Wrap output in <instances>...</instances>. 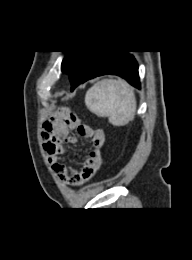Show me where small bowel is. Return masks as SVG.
Masks as SVG:
<instances>
[{
	"label": "small bowel",
	"mask_w": 192,
	"mask_h": 260,
	"mask_svg": "<svg viewBox=\"0 0 192 260\" xmlns=\"http://www.w3.org/2000/svg\"><path fill=\"white\" fill-rule=\"evenodd\" d=\"M73 132L89 138L94 145V149L89 152L80 168H73L62 161V155L65 152L64 143H74L77 140ZM42 137L48 162L64 184L71 187L82 186L99 169L101 148L105 141L104 133L100 129L83 124L76 114L65 111V114L59 113L47 120L43 125Z\"/></svg>",
	"instance_id": "small-bowel-1"
}]
</instances>
